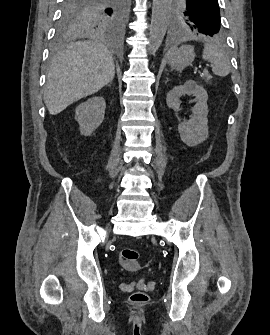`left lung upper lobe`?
<instances>
[{"label":"left lung upper lobe","mask_w":270,"mask_h":335,"mask_svg":"<svg viewBox=\"0 0 270 335\" xmlns=\"http://www.w3.org/2000/svg\"><path fill=\"white\" fill-rule=\"evenodd\" d=\"M176 17L186 29L208 36L222 32L218 0H179Z\"/></svg>","instance_id":"left-lung-upper-lobe-1"}]
</instances>
